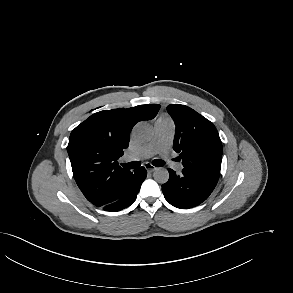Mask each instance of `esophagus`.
<instances>
[{
	"mask_svg": "<svg viewBox=\"0 0 293 293\" xmlns=\"http://www.w3.org/2000/svg\"><path fill=\"white\" fill-rule=\"evenodd\" d=\"M145 169L148 171V172H153L155 170H157V167L153 166L152 164L150 163H146L144 165Z\"/></svg>",
	"mask_w": 293,
	"mask_h": 293,
	"instance_id": "obj_1",
	"label": "esophagus"
}]
</instances>
